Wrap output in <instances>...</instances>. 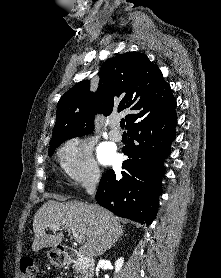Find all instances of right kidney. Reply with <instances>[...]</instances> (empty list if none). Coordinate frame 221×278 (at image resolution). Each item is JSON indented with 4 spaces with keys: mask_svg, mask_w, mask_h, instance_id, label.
<instances>
[{
    "mask_svg": "<svg viewBox=\"0 0 221 278\" xmlns=\"http://www.w3.org/2000/svg\"><path fill=\"white\" fill-rule=\"evenodd\" d=\"M123 263L124 259L122 257L115 262V273H118L121 270Z\"/></svg>",
    "mask_w": 221,
    "mask_h": 278,
    "instance_id": "ca27d5eb",
    "label": "right kidney"
}]
</instances>
